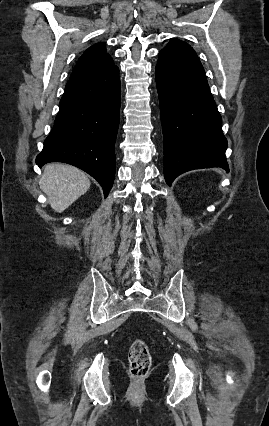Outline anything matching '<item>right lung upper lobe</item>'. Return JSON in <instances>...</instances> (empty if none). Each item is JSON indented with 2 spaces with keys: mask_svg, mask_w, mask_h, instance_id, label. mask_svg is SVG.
I'll list each match as a JSON object with an SVG mask.
<instances>
[{
  "mask_svg": "<svg viewBox=\"0 0 269 426\" xmlns=\"http://www.w3.org/2000/svg\"><path fill=\"white\" fill-rule=\"evenodd\" d=\"M114 66L111 56L106 53L105 44L97 43L82 54L73 69L70 79L104 73Z\"/></svg>",
  "mask_w": 269,
  "mask_h": 426,
  "instance_id": "obj_1",
  "label": "right lung upper lobe"
}]
</instances>
